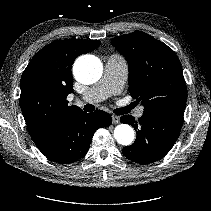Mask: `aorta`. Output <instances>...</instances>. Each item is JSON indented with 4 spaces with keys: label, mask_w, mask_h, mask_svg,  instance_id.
Here are the masks:
<instances>
[{
    "label": "aorta",
    "mask_w": 211,
    "mask_h": 211,
    "mask_svg": "<svg viewBox=\"0 0 211 211\" xmlns=\"http://www.w3.org/2000/svg\"><path fill=\"white\" fill-rule=\"evenodd\" d=\"M102 70V63L92 55L79 57L73 66L76 80L86 85L97 82L102 75ZM114 138L121 145H130L134 140V130L128 124H120L115 127Z\"/></svg>",
    "instance_id": "aorta-1"
}]
</instances>
